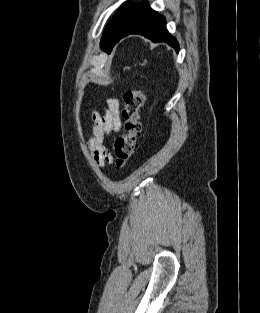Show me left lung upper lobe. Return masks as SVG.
<instances>
[{
	"label": "left lung upper lobe",
	"instance_id": "5c2ea615",
	"mask_svg": "<svg viewBox=\"0 0 260 313\" xmlns=\"http://www.w3.org/2000/svg\"><path fill=\"white\" fill-rule=\"evenodd\" d=\"M148 7L149 5L146 1L136 4L130 0L124 2L106 27L101 39V48L110 53L121 35Z\"/></svg>",
	"mask_w": 260,
	"mask_h": 313
}]
</instances>
